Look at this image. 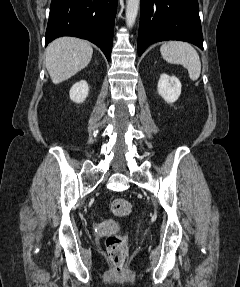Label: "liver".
Returning <instances> with one entry per match:
<instances>
[{
	"label": "liver",
	"mask_w": 240,
	"mask_h": 287,
	"mask_svg": "<svg viewBox=\"0 0 240 287\" xmlns=\"http://www.w3.org/2000/svg\"><path fill=\"white\" fill-rule=\"evenodd\" d=\"M93 49L89 42L75 37H61L51 42L45 51V66L54 84H59L91 61Z\"/></svg>",
	"instance_id": "1"
}]
</instances>
